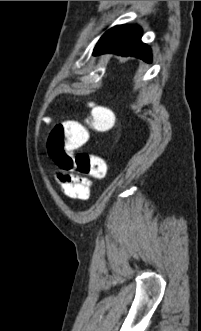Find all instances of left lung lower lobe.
I'll list each match as a JSON object with an SVG mask.
<instances>
[{
    "instance_id": "obj_1",
    "label": "left lung lower lobe",
    "mask_w": 201,
    "mask_h": 331,
    "mask_svg": "<svg viewBox=\"0 0 201 331\" xmlns=\"http://www.w3.org/2000/svg\"><path fill=\"white\" fill-rule=\"evenodd\" d=\"M142 30L137 25H120L107 30L94 48L93 55L115 53L151 62L150 48L141 42Z\"/></svg>"
}]
</instances>
